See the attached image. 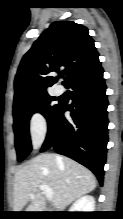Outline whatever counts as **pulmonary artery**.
<instances>
[{
	"instance_id": "e3ab8cb5",
	"label": "pulmonary artery",
	"mask_w": 123,
	"mask_h": 219,
	"mask_svg": "<svg viewBox=\"0 0 123 219\" xmlns=\"http://www.w3.org/2000/svg\"><path fill=\"white\" fill-rule=\"evenodd\" d=\"M55 93H56V95H61L63 93V89L61 87H56Z\"/></svg>"
}]
</instances>
